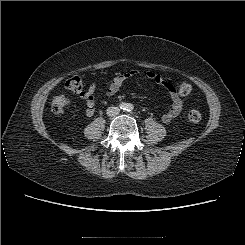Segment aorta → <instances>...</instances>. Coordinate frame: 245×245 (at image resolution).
<instances>
[{
	"mask_svg": "<svg viewBox=\"0 0 245 245\" xmlns=\"http://www.w3.org/2000/svg\"><path fill=\"white\" fill-rule=\"evenodd\" d=\"M132 108V105L131 104H127L126 106H125V110H130Z\"/></svg>",
	"mask_w": 245,
	"mask_h": 245,
	"instance_id": "1",
	"label": "aorta"
}]
</instances>
